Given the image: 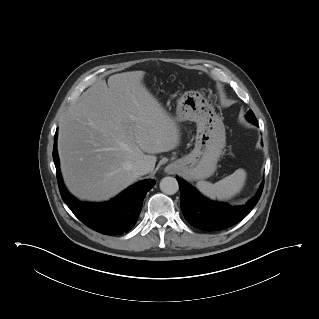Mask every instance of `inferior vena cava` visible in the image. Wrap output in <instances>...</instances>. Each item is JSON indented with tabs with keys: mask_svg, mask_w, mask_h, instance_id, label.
Returning a JSON list of instances; mask_svg holds the SVG:
<instances>
[{
	"mask_svg": "<svg viewBox=\"0 0 319 319\" xmlns=\"http://www.w3.org/2000/svg\"><path fill=\"white\" fill-rule=\"evenodd\" d=\"M132 170L138 176L145 175L150 172L151 165L145 160H139L133 165Z\"/></svg>",
	"mask_w": 319,
	"mask_h": 319,
	"instance_id": "inferior-vena-cava-1",
	"label": "inferior vena cava"
}]
</instances>
